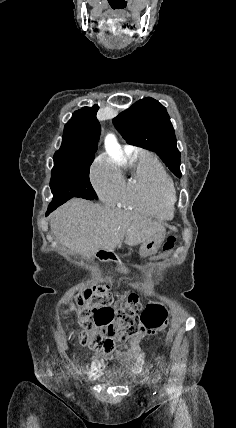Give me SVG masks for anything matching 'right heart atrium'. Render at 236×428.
Returning a JSON list of instances; mask_svg holds the SVG:
<instances>
[{
    "label": "right heart atrium",
    "mask_w": 236,
    "mask_h": 428,
    "mask_svg": "<svg viewBox=\"0 0 236 428\" xmlns=\"http://www.w3.org/2000/svg\"><path fill=\"white\" fill-rule=\"evenodd\" d=\"M89 178L102 203L113 205L121 200L124 180L118 170L103 156L98 157L92 163Z\"/></svg>",
    "instance_id": "d8ad5b80"
}]
</instances>
